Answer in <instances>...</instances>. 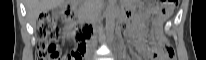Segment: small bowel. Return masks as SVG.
<instances>
[{
	"instance_id": "small-bowel-1",
	"label": "small bowel",
	"mask_w": 206,
	"mask_h": 60,
	"mask_svg": "<svg viewBox=\"0 0 206 60\" xmlns=\"http://www.w3.org/2000/svg\"><path fill=\"white\" fill-rule=\"evenodd\" d=\"M158 24H160L161 22H162V20L161 19H158ZM143 50V52H144V48L142 49ZM137 59H140V58H137Z\"/></svg>"
}]
</instances>
